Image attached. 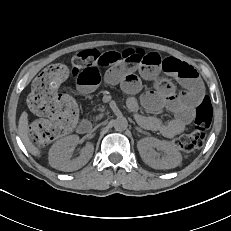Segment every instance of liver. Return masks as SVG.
I'll list each match as a JSON object with an SVG mask.
<instances>
[{
    "instance_id": "obj_1",
    "label": "liver",
    "mask_w": 231,
    "mask_h": 231,
    "mask_svg": "<svg viewBox=\"0 0 231 231\" xmlns=\"http://www.w3.org/2000/svg\"><path fill=\"white\" fill-rule=\"evenodd\" d=\"M19 136L24 143L26 149L34 156L40 157V150L32 143L29 138V125H28V114L23 112L19 118L18 123Z\"/></svg>"
}]
</instances>
